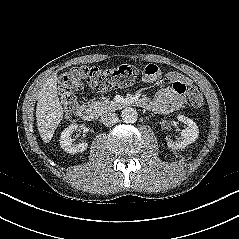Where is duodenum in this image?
Wrapping results in <instances>:
<instances>
[{
  "mask_svg": "<svg viewBox=\"0 0 239 239\" xmlns=\"http://www.w3.org/2000/svg\"><path fill=\"white\" fill-rule=\"evenodd\" d=\"M135 104L143 109H150L151 104L147 99H138L135 101ZM79 115L84 121H93L96 117V112L93 107L89 105H82L79 108Z\"/></svg>",
  "mask_w": 239,
  "mask_h": 239,
  "instance_id": "obj_1",
  "label": "duodenum"
}]
</instances>
